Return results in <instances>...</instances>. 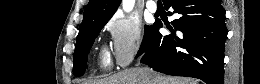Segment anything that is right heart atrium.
I'll return each mask as SVG.
<instances>
[{
    "instance_id": "obj_1",
    "label": "right heart atrium",
    "mask_w": 260,
    "mask_h": 84,
    "mask_svg": "<svg viewBox=\"0 0 260 84\" xmlns=\"http://www.w3.org/2000/svg\"><path fill=\"white\" fill-rule=\"evenodd\" d=\"M106 29L110 37L111 57L117 66H127L142 52V28L136 20L114 16L106 23Z\"/></svg>"
}]
</instances>
